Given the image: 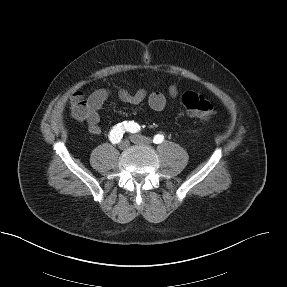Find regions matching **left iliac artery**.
Wrapping results in <instances>:
<instances>
[{"mask_svg":"<svg viewBox=\"0 0 287 287\" xmlns=\"http://www.w3.org/2000/svg\"><path fill=\"white\" fill-rule=\"evenodd\" d=\"M138 125H137V123H134V121H129L128 122V124H127V131H129V132H131V133H135V132H137L138 130ZM164 141V136L163 135H161V134H157V135H155L154 136V138H153V142L155 143V144H160V143H162Z\"/></svg>","mask_w":287,"mask_h":287,"instance_id":"obj_1","label":"left iliac artery"}]
</instances>
